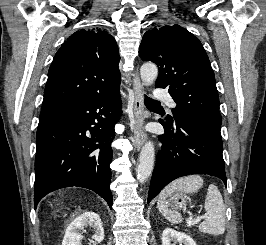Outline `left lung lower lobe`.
<instances>
[{
    "mask_svg": "<svg viewBox=\"0 0 266 245\" xmlns=\"http://www.w3.org/2000/svg\"><path fill=\"white\" fill-rule=\"evenodd\" d=\"M165 134L159 136L161 150L151 178L150 202L176 178L190 174H207L226 185L222 156L221 126L195 116L180 115L173 124L160 119Z\"/></svg>",
    "mask_w": 266,
    "mask_h": 245,
    "instance_id": "0a47b994",
    "label": "left lung lower lobe"
}]
</instances>
